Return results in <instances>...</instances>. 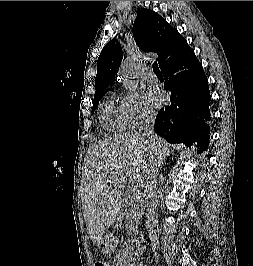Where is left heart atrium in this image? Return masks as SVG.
Segmentation results:
<instances>
[{"instance_id":"39dd6f15","label":"left heart atrium","mask_w":253,"mask_h":266,"mask_svg":"<svg viewBox=\"0 0 253 266\" xmlns=\"http://www.w3.org/2000/svg\"><path fill=\"white\" fill-rule=\"evenodd\" d=\"M150 101L154 106H159L165 99L163 93L158 89H150L149 91Z\"/></svg>"}]
</instances>
